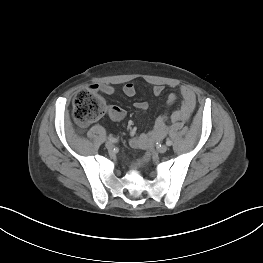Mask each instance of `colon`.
Here are the masks:
<instances>
[{
	"mask_svg": "<svg viewBox=\"0 0 263 263\" xmlns=\"http://www.w3.org/2000/svg\"><path fill=\"white\" fill-rule=\"evenodd\" d=\"M106 109L103 97L95 89L82 90L73 100L74 119L82 126H87L100 119Z\"/></svg>",
	"mask_w": 263,
	"mask_h": 263,
	"instance_id": "1",
	"label": "colon"
}]
</instances>
